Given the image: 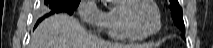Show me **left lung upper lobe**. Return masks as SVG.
<instances>
[{
	"mask_svg": "<svg viewBox=\"0 0 213 48\" xmlns=\"http://www.w3.org/2000/svg\"><path fill=\"white\" fill-rule=\"evenodd\" d=\"M170 2L171 14L174 22L183 32H185L184 21L182 18V8L180 7L178 0H168Z\"/></svg>",
	"mask_w": 213,
	"mask_h": 48,
	"instance_id": "5c2ea615",
	"label": "left lung upper lobe"
}]
</instances>
